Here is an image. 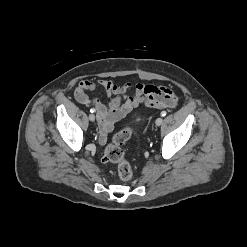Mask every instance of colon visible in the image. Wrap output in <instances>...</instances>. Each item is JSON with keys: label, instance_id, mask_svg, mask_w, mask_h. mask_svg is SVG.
<instances>
[{"label": "colon", "instance_id": "colon-1", "mask_svg": "<svg viewBox=\"0 0 247 247\" xmlns=\"http://www.w3.org/2000/svg\"><path fill=\"white\" fill-rule=\"evenodd\" d=\"M132 131L130 127L123 128L115 136L111 143H109L104 152V160L106 162L118 164V173L120 178L127 182L133 177V171L130 164L124 157L122 145H124L131 137Z\"/></svg>", "mask_w": 247, "mask_h": 247}]
</instances>
